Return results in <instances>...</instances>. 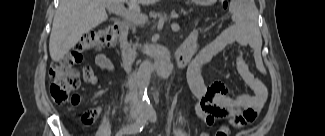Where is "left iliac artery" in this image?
<instances>
[{
    "instance_id": "obj_1",
    "label": "left iliac artery",
    "mask_w": 325,
    "mask_h": 136,
    "mask_svg": "<svg viewBox=\"0 0 325 136\" xmlns=\"http://www.w3.org/2000/svg\"><path fill=\"white\" fill-rule=\"evenodd\" d=\"M148 119L151 121V122H156L157 120V116H156V113L154 111L150 112L148 114Z\"/></svg>"
}]
</instances>
